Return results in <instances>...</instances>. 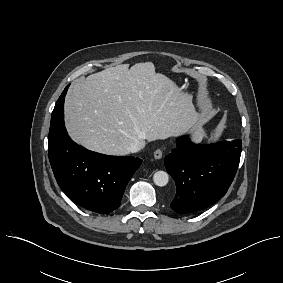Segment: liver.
Returning a JSON list of instances; mask_svg holds the SVG:
<instances>
[{
	"label": "liver",
	"instance_id": "liver-1",
	"mask_svg": "<svg viewBox=\"0 0 283 283\" xmlns=\"http://www.w3.org/2000/svg\"><path fill=\"white\" fill-rule=\"evenodd\" d=\"M65 124L87 149L124 156L135 141L163 140L192 133L199 141L201 119L189 93L152 62L117 65L79 79L68 92Z\"/></svg>",
	"mask_w": 283,
	"mask_h": 283
}]
</instances>
